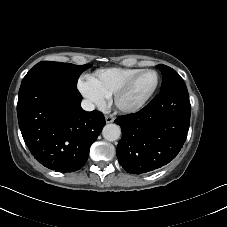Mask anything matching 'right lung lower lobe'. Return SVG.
Returning <instances> with one entry per match:
<instances>
[{
	"label": "right lung lower lobe",
	"instance_id": "obj_1",
	"mask_svg": "<svg viewBox=\"0 0 227 227\" xmlns=\"http://www.w3.org/2000/svg\"><path fill=\"white\" fill-rule=\"evenodd\" d=\"M76 87L57 79L35 78L21 85L17 104L19 127L32 155L56 172H73L86 163L105 119L84 111Z\"/></svg>",
	"mask_w": 227,
	"mask_h": 227
}]
</instances>
